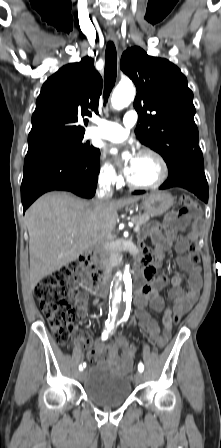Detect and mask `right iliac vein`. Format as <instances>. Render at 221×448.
Returning a JSON list of instances; mask_svg holds the SVG:
<instances>
[{
	"mask_svg": "<svg viewBox=\"0 0 221 448\" xmlns=\"http://www.w3.org/2000/svg\"><path fill=\"white\" fill-rule=\"evenodd\" d=\"M85 374H86L85 370L80 371L79 374H78L79 380H82L84 378Z\"/></svg>",
	"mask_w": 221,
	"mask_h": 448,
	"instance_id": "obj_1",
	"label": "right iliac vein"
}]
</instances>
